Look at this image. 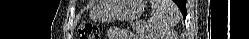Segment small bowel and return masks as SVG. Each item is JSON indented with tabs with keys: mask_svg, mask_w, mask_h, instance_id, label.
<instances>
[{
	"mask_svg": "<svg viewBox=\"0 0 249 39\" xmlns=\"http://www.w3.org/2000/svg\"><path fill=\"white\" fill-rule=\"evenodd\" d=\"M108 34L109 36L112 37H116V38H131L132 37V33H130L129 31H127L126 29H121L118 27H111L108 30Z\"/></svg>",
	"mask_w": 249,
	"mask_h": 39,
	"instance_id": "obj_1",
	"label": "small bowel"
}]
</instances>
